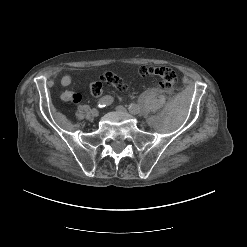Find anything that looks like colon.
Wrapping results in <instances>:
<instances>
[{
    "label": "colon",
    "mask_w": 247,
    "mask_h": 247,
    "mask_svg": "<svg viewBox=\"0 0 247 247\" xmlns=\"http://www.w3.org/2000/svg\"><path fill=\"white\" fill-rule=\"evenodd\" d=\"M139 72L142 76H153L158 79V87L163 91H170L177 82V73L170 67L166 66H141ZM104 80L116 88L123 91L127 88L125 82L115 74L106 73ZM90 92L94 96H99L102 92V83L100 81L92 82Z\"/></svg>",
    "instance_id": "obj_1"
}]
</instances>
